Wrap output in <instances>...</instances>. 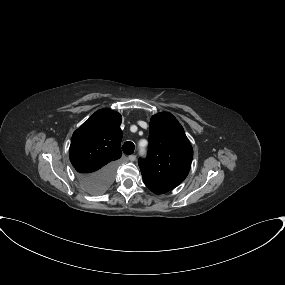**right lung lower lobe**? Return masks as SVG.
<instances>
[{
	"mask_svg": "<svg viewBox=\"0 0 285 285\" xmlns=\"http://www.w3.org/2000/svg\"><path fill=\"white\" fill-rule=\"evenodd\" d=\"M117 163H111L101 170L91 174H79V180L90 193L104 192L113 182Z\"/></svg>",
	"mask_w": 285,
	"mask_h": 285,
	"instance_id": "right-lung-lower-lobe-1",
	"label": "right lung lower lobe"
}]
</instances>
